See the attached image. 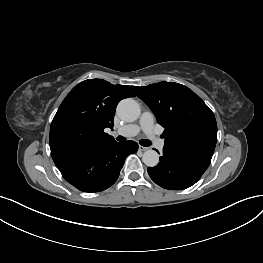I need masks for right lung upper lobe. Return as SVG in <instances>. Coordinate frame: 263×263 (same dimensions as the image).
<instances>
[{"label": "right lung upper lobe", "instance_id": "1", "mask_svg": "<svg viewBox=\"0 0 263 263\" xmlns=\"http://www.w3.org/2000/svg\"><path fill=\"white\" fill-rule=\"evenodd\" d=\"M133 86L113 85L105 80H85L61 103L50 127V149L54 162L115 142L104 132L113 128L120 100L134 97Z\"/></svg>", "mask_w": 263, "mask_h": 263}]
</instances>
